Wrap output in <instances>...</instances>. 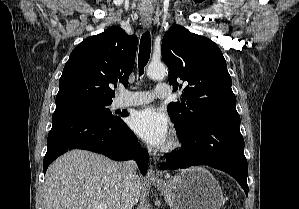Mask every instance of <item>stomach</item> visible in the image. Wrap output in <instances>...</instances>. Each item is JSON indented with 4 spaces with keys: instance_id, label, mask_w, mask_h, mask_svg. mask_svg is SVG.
I'll list each match as a JSON object with an SVG mask.
<instances>
[{
    "instance_id": "1",
    "label": "stomach",
    "mask_w": 299,
    "mask_h": 209,
    "mask_svg": "<svg viewBox=\"0 0 299 209\" xmlns=\"http://www.w3.org/2000/svg\"><path fill=\"white\" fill-rule=\"evenodd\" d=\"M153 185L171 209H220L224 201L219 183L202 167L181 170L171 180Z\"/></svg>"
}]
</instances>
